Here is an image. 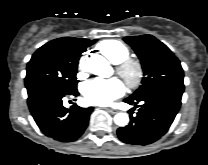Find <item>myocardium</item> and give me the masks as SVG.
Returning a JSON list of instances; mask_svg holds the SVG:
<instances>
[{"label":"myocardium","mask_w":208,"mask_h":165,"mask_svg":"<svg viewBox=\"0 0 208 165\" xmlns=\"http://www.w3.org/2000/svg\"><path fill=\"white\" fill-rule=\"evenodd\" d=\"M116 71L130 88L139 86L143 79V66L138 59H124L117 63Z\"/></svg>","instance_id":"myocardium-1"}]
</instances>
